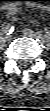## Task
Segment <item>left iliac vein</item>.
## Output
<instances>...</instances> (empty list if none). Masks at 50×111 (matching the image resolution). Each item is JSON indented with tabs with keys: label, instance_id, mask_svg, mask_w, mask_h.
Wrapping results in <instances>:
<instances>
[{
	"label": "left iliac vein",
	"instance_id": "obj_1",
	"mask_svg": "<svg viewBox=\"0 0 50 111\" xmlns=\"http://www.w3.org/2000/svg\"><path fill=\"white\" fill-rule=\"evenodd\" d=\"M22 33L26 36H30V37H33V38H38L37 33H35L34 31H32L31 29H28V28L24 29L22 31ZM42 44L47 45L46 42H44V41L42 42Z\"/></svg>",
	"mask_w": 50,
	"mask_h": 111
}]
</instances>
